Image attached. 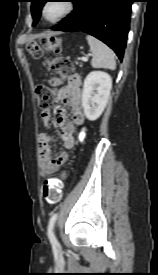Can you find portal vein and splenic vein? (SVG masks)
I'll return each instance as SVG.
<instances>
[{
	"label": "portal vein and splenic vein",
	"mask_w": 158,
	"mask_h": 275,
	"mask_svg": "<svg viewBox=\"0 0 158 275\" xmlns=\"http://www.w3.org/2000/svg\"><path fill=\"white\" fill-rule=\"evenodd\" d=\"M81 60H82V61H87V60H88V57H87V56H83V57H81Z\"/></svg>",
	"instance_id": "obj_1"
}]
</instances>
